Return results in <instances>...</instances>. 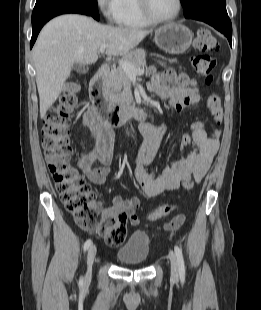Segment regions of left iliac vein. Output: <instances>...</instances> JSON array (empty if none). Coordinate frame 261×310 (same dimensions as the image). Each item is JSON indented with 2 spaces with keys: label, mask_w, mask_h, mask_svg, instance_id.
<instances>
[{
  "label": "left iliac vein",
  "mask_w": 261,
  "mask_h": 310,
  "mask_svg": "<svg viewBox=\"0 0 261 310\" xmlns=\"http://www.w3.org/2000/svg\"><path fill=\"white\" fill-rule=\"evenodd\" d=\"M169 258L171 263V278L177 280L179 276L178 262L176 255L173 251L169 252Z\"/></svg>",
  "instance_id": "1"
}]
</instances>
